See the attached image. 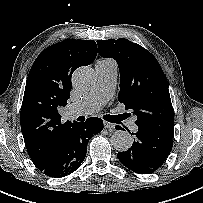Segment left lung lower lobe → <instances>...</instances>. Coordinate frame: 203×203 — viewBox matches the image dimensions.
<instances>
[{
    "mask_svg": "<svg viewBox=\"0 0 203 203\" xmlns=\"http://www.w3.org/2000/svg\"><path fill=\"white\" fill-rule=\"evenodd\" d=\"M122 129L121 127H118ZM130 149L118 153L119 161L138 174H150L158 170L173 146V133L138 127Z\"/></svg>",
    "mask_w": 203,
    "mask_h": 203,
    "instance_id": "1",
    "label": "left lung lower lobe"
}]
</instances>
